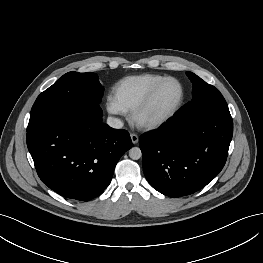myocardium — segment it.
Masks as SVG:
<instances>
[{
    "label": "myocardium",
    "mask_w": 263,
    "mask_h": 263,
    "mask_svg": "<svg viewBox=\"0 0 263 263\" xmlns=\"http://www.w3.org/2000/svg\"><path fill=\"white\" fill-rule=\"evenodd\" d=\"M168 80H174L178 82V84L181 86L182 94L181 98L178 102V104L168 113L155 117L152 119H143L142 115L147 111V109L150 107L156 93L161 88V86L167 82ZM186 99V87L184 83L174 76H166L162 78L159 82H157L148 92V94L145 96V98L131 111V120L132 122L140 129L144 130H153L156 129L168 121H170L182 108L184 102Z\"/></svg>",
    "instance_id": "obj_1"
}]
</instances>
